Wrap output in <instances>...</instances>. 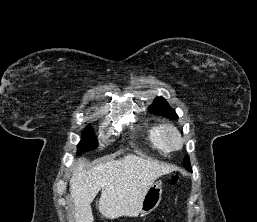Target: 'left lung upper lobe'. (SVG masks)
Wrapping results in <instances>:
<instances>
[{"instance_id": "1", "label": "left lung upper lobe", "mask_w": 257, "mask_h": 222, "mask_svg": "<svg viewBox=\"0 0 257 222\" xmlns=\"http://www.w3.org/2000/svg\"><path fill=\"white\" fill-rule=\"evenodd\" d=\"M149 110L168 119L176 120L178 118L175 110L162 97L155 98L153 104L149 106ZM184 166L186 169L191 170L189 156L184 158Z\"/></svg>"}]
</instances>
